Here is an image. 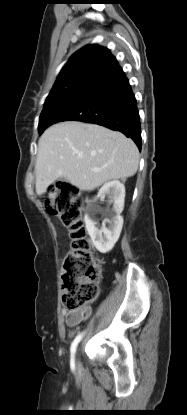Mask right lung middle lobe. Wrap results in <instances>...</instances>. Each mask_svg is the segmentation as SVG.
<instances>
[{
	"label": "right lung middle lobe",
	"mask_w": 187,
	"mask_h": 415,
	"mask_svg": "<svg viewBox=\"0 0 187 415\" xmlns=\"http://www.w3.org/2000/svg\"><path fill=\"white\" fill-rule=\"evenodd\" d=\"M61 101H62V99L56 101L49 108L43 109V111L40 115V120H39V125H38V131H39L40 134H42L44 132V130L48 126H50V115L60 105Z\"/></svg>",
	"instance_id": "obj_1"
}]
</instances>
